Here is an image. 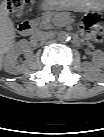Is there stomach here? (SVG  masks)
Wrapping results in <instances>:
<instances>
[{
	"label": "stomach",
	"instance_id": "stomach-1",
	"mask_svg": "<svg viewBox=\"0 0 104 137\" xmlns=\"http://www.w3.org/2000/svg\"><path fill=\"white\" fill-rule=\"evenodd\" d=\"M95 0H44L46 9L62 10L75 8L78 10L92 9Z\"/></svg>",
	"mask_w": 104,
	"mask_h": 137
}]
</instances>
